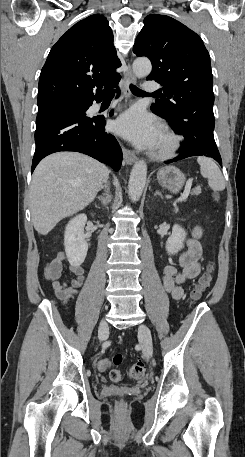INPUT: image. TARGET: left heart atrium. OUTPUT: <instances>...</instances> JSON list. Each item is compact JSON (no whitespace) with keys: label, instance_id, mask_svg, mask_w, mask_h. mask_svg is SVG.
<instances>
[{"label":"left heart atrium","instance_id":"1","mask_svg":"<svg viewBox=\"0 0 245 457\" xmlns=\"http://www.w3.org/2000/svg\"><path fill=\"white\" fill-rule=\"evenodd\" d=\"M115 131L138 146L156 145L160 138V126L140 109L124 113L114 124Z\"/></svg>","mask_w":245,"mask_h":457}]
</instances>
